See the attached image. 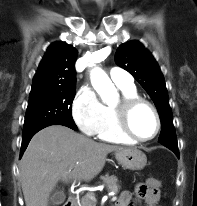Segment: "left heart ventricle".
I'll use <instances>...</instances> for the list:
<instances>
[{"mask_svg":"<svg viewBox=\"0 0 197 206\" xmlns=\"http://www.w3.org/2000/svg\"><path fill=\"white\" fill-rule=\"evenodd\" d=\"M130 125L137 136L146 138L153 135L156 128V120L152 111L148 107L141 105L132 112Z\"/></svg>","mask_w":197,"mask_h":206,"instance_id":"left-heart-ventricle-1","label":"left heart ventricle"}]
</instances>
